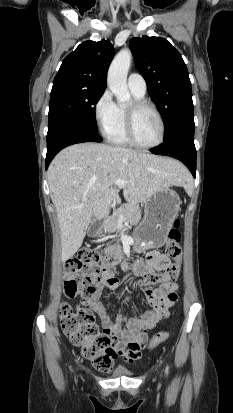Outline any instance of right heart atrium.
Here are the masks:
<instances>
[{"label":"right heart atrium","instance_id":"right-heart-atrium-1","mask_svg":"<svg viewBox=\"0 0 233 413\" xmlns=\"http://www.w3.org/2000/svg\"><path fill=\"white\" fill-rule=\"evenodd\" d=\"M117 105L112 94L105 90L96 100L93 108L95 122L103 134H107L115 122Z\"/></svg>","mask_w":233,"mask_h":413}]
</instances>
